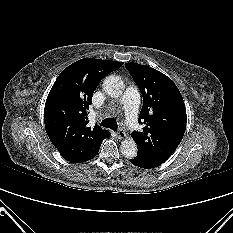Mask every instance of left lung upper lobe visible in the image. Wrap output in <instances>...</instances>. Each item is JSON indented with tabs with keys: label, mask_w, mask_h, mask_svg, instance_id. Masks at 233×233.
Wrapping results in <instances>:
<instances>
[{
	"label": "left lung upper lobe",
	"mask_w": 233,
	"mask_h": 233,
	"mask_svg": "<svg viewBox=\"0 0 233 233\" xmlns=\"http://www.w3.org/2000/svg\"><path fill=\"white\" fill-rule=\"evenodd\" d=\"M125 67L143 96L139 123L145 126L142 132H132L137 157L158 166L172 155L184 136V101L177 86L163 73L137 63H126Z\"/></svg>",
	"instance_id": "obj_1"
}]
</instances>
